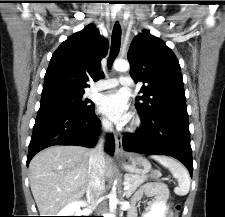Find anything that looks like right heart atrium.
<instances>
[{"label": "right heart atrium", "instance_id": "obj_1", "mask_svg": "<svg viewBox=\"0 0 225 217\" xmlns=\"http://www.w3.org/2000/svg\"><path fill=\"white\" fill-rule=\"evenodd\" d=\"M100 123H101V127L104 129V130H109L110 129V123L108 120L102 118L100 120Z\"/></svg>", "mask_w": 225, "mask_h": 217}]
</instances>
